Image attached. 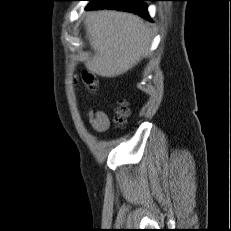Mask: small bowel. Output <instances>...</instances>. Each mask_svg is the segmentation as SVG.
I'll list each match as a JSON object with an SVG mask.
<instances>
[{"mask_svg":"<svg viewBox=\"0 0 231 231\" xmlns=\"http://www.w3.org/2000/svg\"><path fill=\"white\" fill-rule=\"evenodd\" d=\"M89 123L96 132H105L109 128V119L103 111H90Z\"/></svg>","mask_w":231,"mask_h":231,"instance_id":"c3829d8e","label":"small bowel"}]
</instances>
